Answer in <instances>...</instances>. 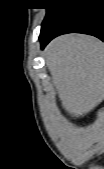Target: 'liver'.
Returning a JSON list of instances; mask_svg holds the SVG:
<instances>
[{
    "label": "liver",
    "instance_id": "liver-1",
    "mask_svg": "<svg viewBox=\"0 0 104 169\" xmlns=\"http://www.w3.org/2000/svg\"><path fill=\"white\" fill-rule=\"evenodd\" d=\"M62 107L82 117L104 96V46L92 36L68 34L52 40L44 51Z\"/></svg>",
    "mask_w": 104,
    "mask_h": 169
}]
</instances>
